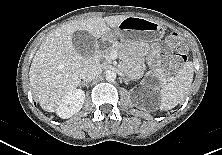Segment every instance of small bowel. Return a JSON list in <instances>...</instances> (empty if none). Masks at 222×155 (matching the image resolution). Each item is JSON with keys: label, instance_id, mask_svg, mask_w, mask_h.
<instances>
[{"label": "small bowel", "instance_id": "obj_1", "mask_svg": "<svg viewBox=\"0 0 222 155\" xmlns=\"http://www.w3.org/2000/svg\"><path fill=\"white\" fill-rule=\"evenodd\" d=\"M159 56V47L157 44L152 45L151 47V53H150V61L152 63H155L157 58Z\"/></svg>", "mask_w": 222, "mask_h": 155}]
</instances>
